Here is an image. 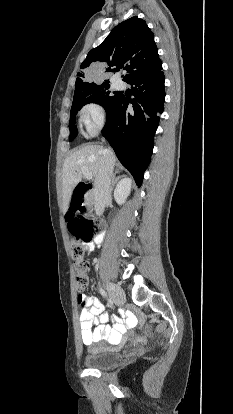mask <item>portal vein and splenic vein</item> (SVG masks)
Wrapping results in <instances>:
<instances>
[{
    "label": "portal vein and splenic vein",
    "instance_id": "18ae733b",
    "mask_svg": "<svg viewBox=\"0 0 233 414\" xmlns=\"http://www.w3.org/2000/svg\"><path fill=\"white\" fill-rule=\"evenodd\" d=\"M85 178L88 179V180L92 179V174L85 173Z\"/></svg>",
    "mask_w": 233,
    "mask_h": 414
}]
</instances>
